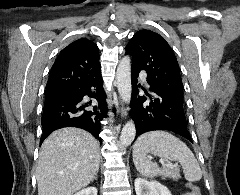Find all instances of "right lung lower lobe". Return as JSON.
<instances>
[{"instance_id":"right-lung-lower-lobe-1","label":"right lung lower lobe","mask_w":240,"mask_h":195,"mask_svg":"<svg viewBox=\"0 0 240 195\" xmlns=\"http://www.w3.org/2000/svg\"><path fill=\"white\" fill-rule=\"evenodd\" d=\"M85 96L93 98V102L86 100ZM105 99L101 76L78 86L46 91L40 144L51 132L63 127L82 128L101 142L99 133L108 112Z\"/></svg>"}]
</instances>
